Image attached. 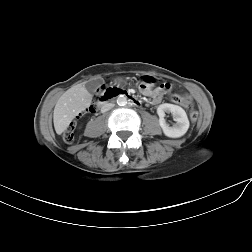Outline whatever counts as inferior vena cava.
<instances>
[{
    "mask_svg": "<svg viewBox=\"0 0 252 252\" xmlns=\"http://www.w3.org/2000/svg\"><path fill=\"white\" fill-rule=\"evenodd\" d=\"M113 107H114L113 103H105V104H103V106L101 108V111L106 112V111L110 110Z\"/></svg>",
    "mask_w": 252,
    "mask_h": 252,
    "instance_id": "inferior-vena-cava-1",
    "label": "inferior vena cava"
}]
</instances>
